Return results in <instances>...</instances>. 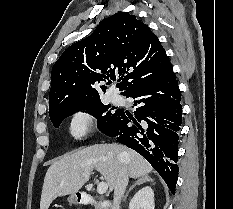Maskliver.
Wrapping results in <instances>:
<instances>
[{"instance_id": "liver-1", "label": "liver", "mask_w": 233, "mask_h": 209, "mask_svg": "<svg viewBox=\"0 0 233 209\" xmlns=\"http://www.w3.org/2000/svg\"><path fill=\"white\" fill-rule=\"evenodd\" d=\"M122 166L131 178L147 176L153 170L142 156L120 144H96L64 155L46 172L40 209H48L57 197L77 193L94 169L112 191Z\"/></svg>"}]
</instances>
